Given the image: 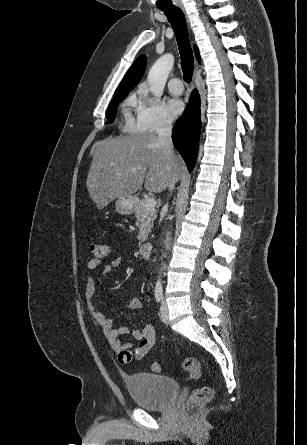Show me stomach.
I'll return each instance as SVG.
<instances>
[{
  "instance_id": "stomach-1",
  "label": "stomach",
  "mask_w": 307,
  "mask_h": 445,
  "mask_svg": "<svg viewBox=\"0 0 307 445\" xmlns=\"http://www.w3.org/2000/svg\"><path fill=\"white\" fill-rule=\"evenodd\" d=\"M136 206L133 196H120L115 202V208L119 214H131Z\"/></svg>"
}]
</instances>
